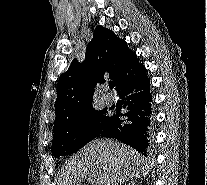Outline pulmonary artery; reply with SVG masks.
Returning <instances> with one entry per match:
<instances>
[{"label":"pulmonary artery","mask_w":207,"mask_h":185,"mask_svg":"<svg viewBox=\"0 0 207 185\" xmlns=\"http://www.w3.org/2000/svg\"><path fill=\"white\" fill-rule=\"evenodd\" d=\"M103 98H104L105 101L108 102V103L112 102V100H111V96H103Z\"/></svg>","instance_id":"obj_1"}]
</instances>
